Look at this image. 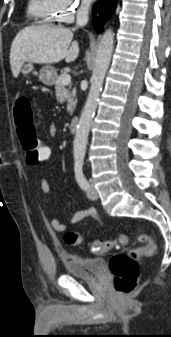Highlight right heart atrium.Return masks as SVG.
Returning a JSON list of instances; mask_svg holds the SVG:
<instances>
[{
    "label": "right heart atrium",
    "mask_w": 171,
    "mask_h": 337,
    "mask_svg": "<svg viewBox=\"0 0 171 337\" xmlns=\"http://www.w3.org/2000/svg\"><path fill=\"white\" fill-rule=\"evenodd\" d=\"M53 8L57 12V19L63 23H71L76 16L87 10L85 0H51Z\"/></svg>",
    "instance_id": "1"
}]
</instances>
